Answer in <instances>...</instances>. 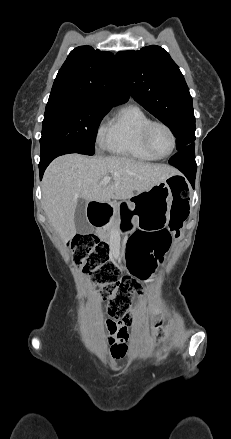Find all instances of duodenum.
I'll return each mask as SVG.
<instances>
[{
  "mask_svg": "<svg viewBox=\"0 0 231 439\" xmlns=\"http://www.w3.org/2000/svg\"><path fill=\"white\" fill-rule=\"evenodd\" d=\"M110 206L109 201H93L89 205V219L92 224L97 220H101L105 211Z\"/></svg>",
  "mask_w": 231,
  "mask_h": 439,
  "instance_id": "duodenum-1",
  "label": "duodenum"
}]
</instances>
